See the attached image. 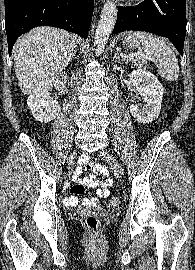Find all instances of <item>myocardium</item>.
I'll use <instances>...</instances> for the list:
<instances>
[{
    "label": "myocardium",
    "instance_id": "1",
    "mask_svg": "<svg viewBox=\"0 0 195 270\" xmlns=\"http://www.w3.org/2000/svg\"><path fill=\"white\" fill-rule=\"evenodd\" d=\"M128 1H139V0H128Z\"/></svg>",
    "mask_w": 195,
    "mask_h": 270
}]
</instances>
